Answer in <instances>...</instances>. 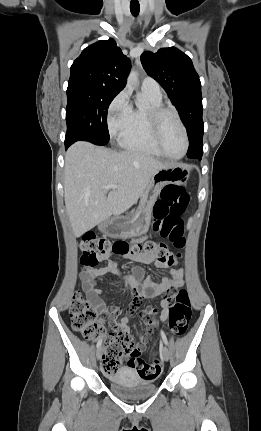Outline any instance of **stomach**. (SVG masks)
Returning a JSON list of instances; mask_svg holds the SVG:
<instances>
[{
	"instance_id": "stomach-1",
	"label": "stomach",
	"mask_w": 261,
	"mask_h": 431,
	"mask_svg": "<svg viewBox=\"0 0 261 431\" xmlns=\"http://www.w3.org/2000/svg\"><path fill=\"white\" fill-rule=\"evenodd\" d=\"M189 169L183 164H170L158 170L141 196L139 206L131 217L114 218L99 225V229L111 237L131 238L145 234L150 226L153 206L164 186L186 184Z\"/></svg>"
}]
</instances>
